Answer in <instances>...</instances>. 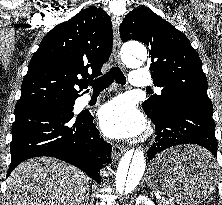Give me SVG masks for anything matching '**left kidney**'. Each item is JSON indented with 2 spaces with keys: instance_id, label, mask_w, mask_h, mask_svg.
<instances>
[{
  "instance_id": "obj_1",
  "label": "left kidney",
  "mask_w": 222,
  "mask_h": 205,
  "mask_svg": "<svg viewBox=\"0 0 222 205\" xmlns=\"http://www.w3.org/2000/svg\"><path fill=\"white\" fill-rule=\"evenodd\" d=\"M135 205H155V204L148 197L139 196L136 200Z\"/></svg>"
}]
</instances>
